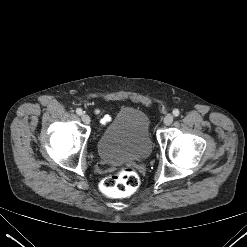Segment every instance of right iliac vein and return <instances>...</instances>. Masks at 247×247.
I'll return each mask as SVG.
<instances>
[{
    "instance_id": "1",
    "label": "right iliac vein",
    "mask_w": 247,
    "mask_h": 247,
    "mask_svg": "<svg viewBox=\"0 0 247 247\" xmlns=\"http://www.w3.org/2000/svg\"><path fill=\"white\" fill-rule=\"evenodd\" d=\"M81 119L85 124H89L91 121L89 115L87 114H82Z\"/></svg>"
}]
</instances>
